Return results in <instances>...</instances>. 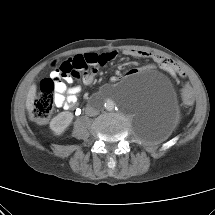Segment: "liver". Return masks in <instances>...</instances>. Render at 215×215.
<instances>
[{
  "mask_svg": "<svg viewBox=\"0 0 215 215\" xmlns=\"http://www.w3.org/2000/svg\"><path fill=\"white\" fill-rule=\"evenodd\" d=\"M36 90H37V86L35 84H32L28 90V93H27L25 105H26V109L29 113H32V110L34 108Z\"/></svg>",
  "mask_w": 215,
  "mask_h": 215,
  "instance_id": "obj_1",
  "label": "liver"
}]
</instances>
